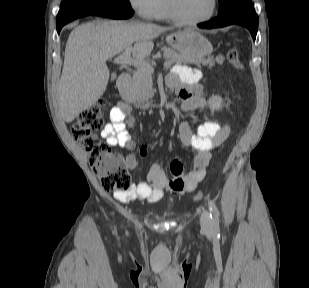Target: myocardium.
I'll list each match as a JSON object with an SVG mask.
<instances>
[{"instance_id":"1","label":"myocardium","mask_w":309,"mask_h":288,"mask_svg":"<svg viewBox=\"0 0 309 288\" xmlns=\"http://www.w3.org/2000/svg\"><path fill=\"white\" fill-rule=\"evenodd\" d=\"M166 10L170 19L174 20L177 23L187 25V26H198L209 22L216 14L218 8V0H212V7L209 14L200 19L190 20L181 17L175 10L173 0H165Z\"/></svg>"}]
</instances>
